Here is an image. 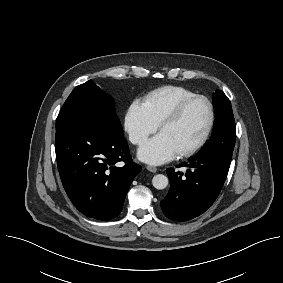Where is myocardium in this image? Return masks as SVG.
<instances>
[{"instance_id": "1", "label": "myocardium", "mask_w": 283, "mask_h": 283, "mask_svg": "<svg viewBox=\"0 0 283 283\" xmlns=\"http://www.w3.org/2000/svg\"><path fill=\"white\" fill-rule=\"evenodd\" d=\"M202 100L207 104L209 110V119L206 126V129L202 136L199 138L197 142H195L190 147L184 149L183 151L178 153L179 157H188L196 153L208 140L213 126L215 122V109L212 101L205 95L195 94L191 97H188L181 101L177 107L168 115L166 116L159 124V130L161 131L164 127L176 123L184 114L185 110L188 108L190 104L194 101Z\"/></svg>"}]
</instances>
